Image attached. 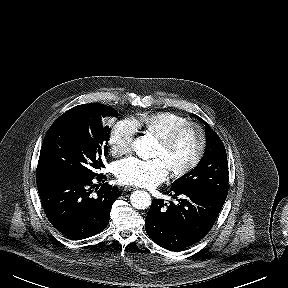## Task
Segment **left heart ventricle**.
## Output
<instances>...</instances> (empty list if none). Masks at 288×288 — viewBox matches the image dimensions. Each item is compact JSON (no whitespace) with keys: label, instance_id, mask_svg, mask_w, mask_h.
I'll return each mask as SVG.
<instances>
[{"label":"left heart ventricle","instance_id":"left-heart-ventricle-1","mask_svg":"<svg viewBox=\"0 0 288 288\" xmlns=\"http://www.w3.org/2000/svg\"><path fill=\"white\" fill-rule=\"evenodd\" d=\"M198 143V134L194 130H188L168 148L159 142L155 156L163 158L169 170L179 168L192 159Z\"/></svg>","mask_w":288,"mask_h":288}]
</instances>
